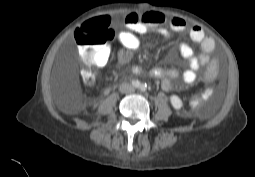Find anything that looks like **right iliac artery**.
I'll return each mask as SVG.
<instances>
[{
    "instance_id": "1",
    "label": "right iliac artery",
    "mask_w": 255,
    "mask_h": 177,
    "mask_svg": "<svg viewBox=\"0 0 255 177\" xmlns=\"http://www.w3.org/2000/svg\"><path fill=\"white\" fill-rule=\"evenodd\" d=\"M131 83L136 88H139L141 86V83L138 80H132Z\"/></svg>"
}]
</instances>
